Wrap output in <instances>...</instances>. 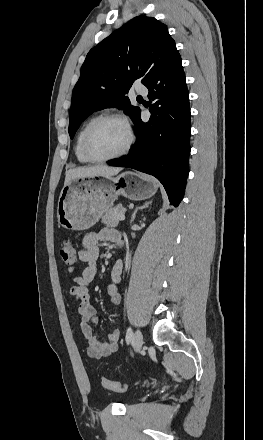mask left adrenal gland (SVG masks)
I'll return each instance as SVG.
<instances>
[{
    "label": "left adrenal gland",
    "mask_w": 263,
    "mask_h": 440,
    "mask_svg": "<svg viewBox=\"0 0 263 440\" xmlns=\"http://www.w3.org/2000/svg\"><path fill=\"white\" fill-rule=\"evenodd\" d=\"M151 203H152V201H146L143 205H141V206H139V207H136V209L134 210V212H133V214H132V217H131L130 223H132V222L134 221V219H135V217H136V213H137L139 210H142V209L147 208Z\"/></svg>",
    "instance_id": "obj_1"
}]
</instances>
